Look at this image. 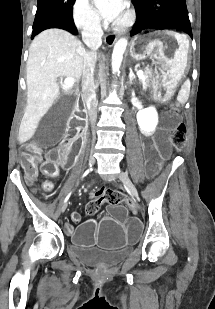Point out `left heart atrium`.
<instances>
[{
	"label": "left heart atrium",
	"mask_w": 215,
	"mask_h": 309,
	"mask_svg": "<svg viewBox=\"0 0 215 309\" xmlns=\"http://www.w3.org/2000/svg\"><path fill=\"white\" fill-rule=\"evenodd\" d=\"M92 3L101 7L97 11L106 24L112 20H120L124 15L125 0H92Z\"/></svg>",
	"instance_id": "39dd6f15"
}]
</instances>
